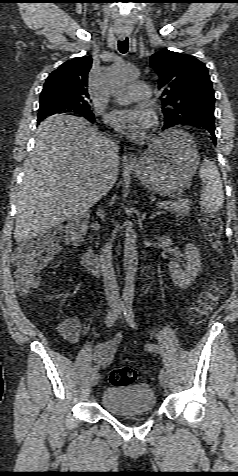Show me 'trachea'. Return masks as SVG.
Returning a JSON list of instances; mask_svg holds the SVG:
<instances>
[{
	"label": "trachea",
	"instance_id": "obj_1",
	"mask_svg": "<svg viewBox=\"0 0 238 476\" xmlns=\"http://www.w3.org/2000/svg\"><path fill=\"white\" fill-rule=\"evenodd\" d=\"M128 48H129L128 38H126L123 41H118V49L121 53L125 54L128 51Z\"/></svg>",
	"mask_w": 238,
	"mask_h": 476
}]
</instances>
